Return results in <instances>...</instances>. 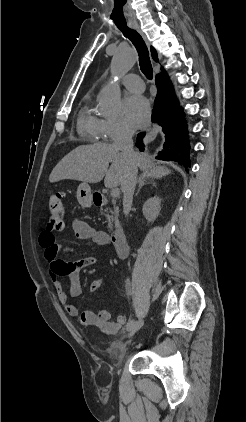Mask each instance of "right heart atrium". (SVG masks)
Masks as SVG:
<instances>
[{"mask_svg":"<svg viewBox=\"0 0 246 422\" xmlns=\"http://www.w3.org/2000/svg\"><path fill=\"white\" fill-rule=\"evenodd\" d=\"M131 133L132 128L122 120H102L101 137L106 141H114Z\"/></svg>","mask_w":246,"mask_h":422,"instance_id":"obj_1","label":"right heart atrium"}]
</instances>
